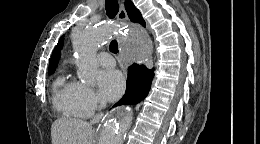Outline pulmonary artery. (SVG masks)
<instances>
[{"mask_svg": "<svg viewBox=\"0 0 260 144\" xmlns=\"http://www.w3.org/2000/svg\"><path fill=\"white\" fill-rule=\"evenodd\" d=\"M97 59H98L99 64L103 68L109 69V68H112L115 66V60H114L113 56L107 52L99 53L97 56Z\"/></svg>", "mask_w": 260, "mask_h": 144, "instance_id": "e3ab8cb5", "label": "pulmonary artery"}]
</instances>
